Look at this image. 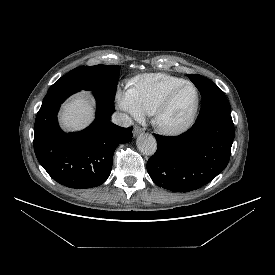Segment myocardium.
Listing matches in <instances>:
<instances>
[{
    "label": "myocardium",
    "mask_w": 275,
    "mask_h": 275,
    "mask_svg": "<svg viewBox=\"0 0 275 275\" xmlns=\"http://www.w3.org/2000/svg\"><path fill=\"white\" fill-rule=\"evenodd\" d=\"M185 86H189L193 89L195 93V102L194 106L187 117L185 121L182 123L175 125V126H167L163 124L162 117L166 110L169 108L174 96L176 93L182 89ZM200 108V94L197 87L190 81H184L175 87H173L171 90L167 92V94L162 98V100L158 103V105L155 107L154 111L152 112V124L155 126V128L160 131L161 133L165 135H178L186 130H188L195 122L198 112Z\"/></svg>",
    "instance_id": "f54148a6"
}]
</instances>
